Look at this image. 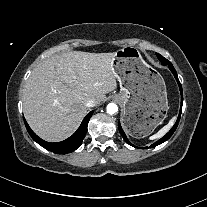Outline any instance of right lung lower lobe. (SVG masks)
<instances>
[{
  "label": "right lung lower lobe",
  "instance_id": "obj_1",
  "mask_svg": "<svg viewBox=\"0 0 207 207\" xmlns=\"http://www.w3.org/2000/svg\"><path fill=\"white\" fill-rule=\"evenodd\" d=\"M92 114H93V111H91L90 113L86 115V117L82 121L78 130L71 137L58 143H50V142H46L42 140L31 130V128L29 127V125L27 124L25 120L24 122H25V126H26L28 133L30 134L32 139L35 142H37L39 145H41L42 147H44L45 149L53 153L67 154L72 151H75L81 145L83 138L87 132V125H88V122Z\"/></svg>",
  "mask_w": 207,
  "mask_h": 207
}]
</instances>
